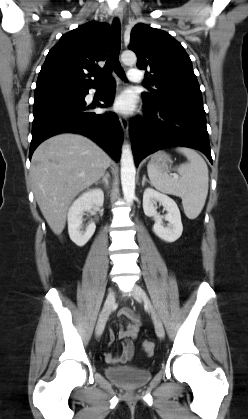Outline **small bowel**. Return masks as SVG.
Wrapping results in <instances>:
<instances>
[{"mask_svg":"<svg viewBox=\"0 0 248 419\" xmlns=\"http://www.w3.org/2000/svg\"><path fill=\"white\" fill-rule=\"evenodd\" d=\"M118 317L123 321L117 335L109 330L107 337L114 341L116 336L122 341L123 347L120 353H105V361L112 365H120L130 361L135 353L134 340L140 329V317L131 308L125 307L119 310Z\"/></svg>","mask_w":248,"mask_h":419,"instance_id":"obj_1","label":"small bowel"}]
</instances>
